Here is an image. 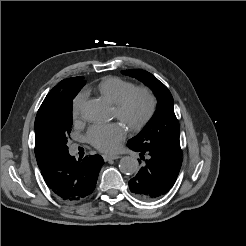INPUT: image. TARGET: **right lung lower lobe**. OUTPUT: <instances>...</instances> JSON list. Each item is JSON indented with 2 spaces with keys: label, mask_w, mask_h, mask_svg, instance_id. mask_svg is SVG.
Returning <instances> with one entry per match:
<instances>
[{
  "label": "right lung lower lobe",
  "mask_w": 246,
  "mask_h": 246,
  "mask_svg": "<svg viewBox=\"0 0 246 246\" xmlns=\"http://www.w3.org/2000/svg\"><path fill=\"white\" fill-rule=\"evenodd\" d=\"M103 164L104 161L98 154L77 161L68 153L53 159L41 174L59 199L75 203L93 192Z\"/></svg>",
  "instance_id": "obj_1"
}]
</instances>
